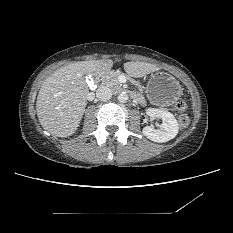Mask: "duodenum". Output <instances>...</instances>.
<instances>
[{"instance_id":"obj_1","label":"duodenum","mask_w":233,"mask_h":233,"mask_svg":"<svg viewBox=\"0 0 233 233\" xmlns=\"http://www.w3.org/2000/svg\"><path fill=\"white\" fill-rule=\"evenodd\" d=\"M102 79V76H100L99 78H98V80H101Z\"/></svg>"}]
</instances>
